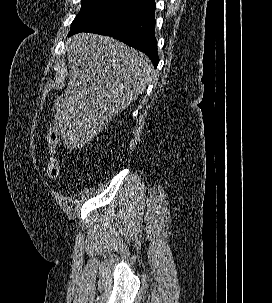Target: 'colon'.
I'll return each mask as SVG.
<instances>
[{
  "label": "colon",
  "instance_id": "5ec220e1",
  "mask_svg": "<svg viewBox=\"0 0 272 303\" xmlns=\"http://www.w3.org/2000/svg\"><path fill=\"white\" fill-rule=\"evenodd\" d=\"M48 160L46 163V175L50 179H57L60 175V165L57 158L59 133L55 127H50L47 132Z\"/></svg>",
  "mask_w": 272,
  "mask_h": 303
}]
</instances>
